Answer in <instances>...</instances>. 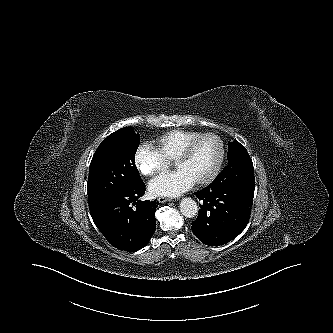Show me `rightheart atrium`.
I'll return each mask as SVG.
<instances>
[{
    "label": "right heart atrium",
    "instance_id": "obj_1",
    "mask_svg": "<svg viewBox=\"0 0 333 333\" xmlns=\"http://www.w3.org/2000/svg\"><path fill=\"white\" fill-rule=\"evenodd\" d=\"M134 164L141 175L154 177L169 167V161L148 145H141L134 154Z\"/></svg>",
    "mask_w": 333,
    "mask_h": 333
}]
</instances>
